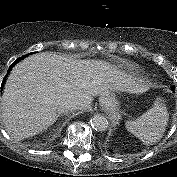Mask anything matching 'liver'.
I'll use <instances>...</instances> for the list:
<instances>
[{
  "label": "liver",
  "instance_id": "obj_1",
  "mask_svg": "<svg viewBox=\"0 0 177 177\" xmlns=\"http://www.w3.org/2000/svg\"><path fill=\"white\" fill-rule=\"evenodd\" d=\"M135 79L103 60H75L52 52L30 55L16 64L0 106L6 131L16 140L35 136L58 118L62 102L89 108L93 97L133 92Z\"/></svg>",
  "mask_w": 177,
  "mask_h": 177
}]
</instances>
